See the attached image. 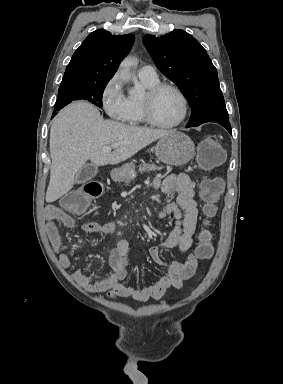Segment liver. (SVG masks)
I'll list each match as a JSON object with an SVG mask.
<instances>
[{
  "label": "liver",
  "instance_id": "obj_1",
  "mask_svg": "<svg viewBox=\"0 0 283 384\" xmlns=\"http://www.w3.org/2000/svg\"><path fill=\"white\" fill-rule=\"evenodd\" d=\"M171 130H152L103 120L93 104L80 100L59 112L50 130V182L46 202H55L75 184L80 168L90 160L95 166L120 164L152 142L169 136ZM120 144L114 152L105 146Z\"/></svg>",
  "mask_w": 283,
  "mask_h": 384
}]
</instances>
